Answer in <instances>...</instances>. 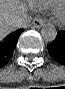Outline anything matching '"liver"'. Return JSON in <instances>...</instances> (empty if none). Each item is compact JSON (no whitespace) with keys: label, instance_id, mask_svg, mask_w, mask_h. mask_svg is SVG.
Segmentation results:
<instances>
[{"label":"liver","instance_id":"obj_1","mask_svg":"<svg viewBox=\"0 0 65 89\" xmlns=\"http://www.w3.org/2000/svg\"><path fill=\"white\" fill-rule=\"evenodd\" d=\"M28 7L21 0H0V38L3 39L15 26V19L26 14Z\"/></svg>","mask_w":65,"mask_h":89}]
</instances>
